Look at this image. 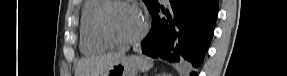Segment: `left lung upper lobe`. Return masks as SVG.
<instances>
[{"label":"left lung upper lobe","instance_id":"left-lung-upper-lobe-1","mask_svg":"<svg viewBox=\"0 0 287 76\" xmlns=\"http://www.w3.org/2000/svg\"><path fill=\"white\" fill-rule=\"evenodd\" d=\"M143 1L146 4L148 10H150L155 4L158 3L157 0H143Z\"/></svg>","mask_w":287,"mask_h":76}]
</instances>
